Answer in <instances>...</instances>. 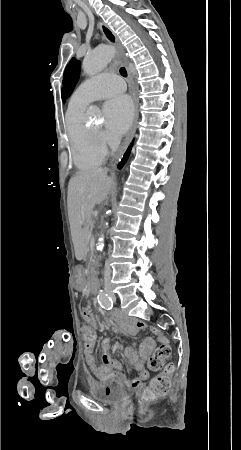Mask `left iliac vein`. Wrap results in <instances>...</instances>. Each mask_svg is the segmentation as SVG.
I'll return each mask as SVG.
<instances>
[{
    "mask_svg": "<svg viewBox=\"0 0 241 450\" xmlns=\"http://www.w3.org/2000/svg\"><path fill=\"white\" fill-rule=\"evenodd\" d=\"M116 300V298L115 297H113V301H115Z\"/></svg>",
    "mask_w": 241,
    "mask_h": 450,
    "instance_id": "4c4485c4",
    "label": "left iliac vein"
}]
</instances>
